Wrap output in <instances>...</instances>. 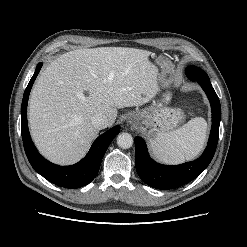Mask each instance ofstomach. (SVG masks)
Segmentation results:
<instances>
[{
    "mask_svg": "<svg viewBox=\"0 0 247 247\" xmlns=\"http://www.w3.org/2000/svg\"><path fill=\"white\" fill-rule=\"evenodd\" d=\"M156 61L161 66H168L170 63L166 56H159ZM170 99V94H165L161 102H154L153 105L133 113L139 125L151 128L148 132L149 139L154 136V131L166 132L173 130L183 121L184 113L181 109L166 106Z\"/></svg>",
    "mask_w": 247,
    "mask_h": 247,
    "instance_id": "1",
    "label": "stomach"
}]
</instances>
